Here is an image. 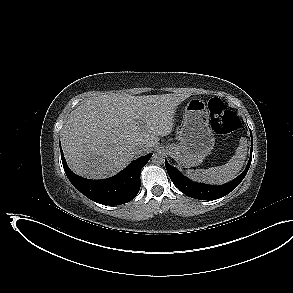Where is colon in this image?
Here are the masks:
<instances>
[{"instance_id":"colon-1","label":"colon","mask_w":293,"mask_h":293,"mask_svg":"<svg viewBox=\"0 0 293 293\" xmlns=\"http://www.w3.org/2000/svg\"><path fill=\"white\" fill-rule=\"evenodd\" d=\"M208 109L211 116V126L218 134L230 135L239 128V117L227 109L219 98L210 99Z\"/></svg>"}]
</instances>
